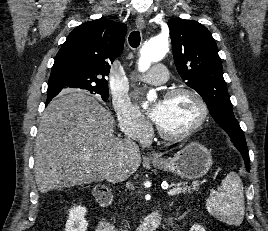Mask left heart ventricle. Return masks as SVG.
<instances>
[{"instance_id": "1", "label": "left heart ventricle", "mask_w": 268, "mask_h": 231, "mask_svg": "<svg viewBox=\"0 0 268 231\" xmlns=\"http://www.w3.org/2000/svg\"><path fill=\"white\" fill-rule=\"evenodd\" d=\"M198 117V106L186 94L161 101L157 124L168 133H179L189 128Z\"/></svg>"}]
</instances>
